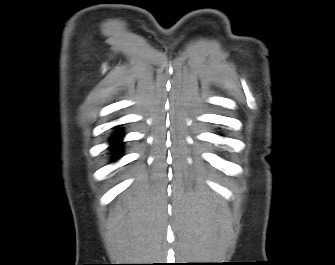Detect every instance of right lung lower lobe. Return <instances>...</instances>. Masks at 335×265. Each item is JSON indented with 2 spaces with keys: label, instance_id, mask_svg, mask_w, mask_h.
<instances>
[{
  "label": "right lung lower lobe",
  "instance_id": "right-lung-lower-lobe-1",
  "mask_svg": "<svg viewBox=\"0 0 335 265\" xmlns=\"http://www.w3.org/2000/svg\"><path fill=\"white\" fill-rule=\"evenodd\" d=\"M121 137L122 135L120 133H116L112 138H111V149H113L114 153L116 156H118L119 151L121 149Z\"/></svg>",
  "mask_w": 335,
  "mask_h": 265
}]
</instances>
